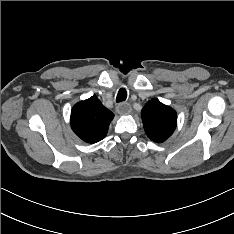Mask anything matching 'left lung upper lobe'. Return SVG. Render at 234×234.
<instances>
[{
	"label": "left lung upper lobe",
	"instance_id": "1",
	"mask_svg": "<svg viewBox=\"0 0 234 234\" xmlns=\"http://www.w3.org/2000/svg\"><path fill=\"white\" fill-rule=\"evenodd\" d=\"M142 121L147 136L154 142L162 143L173 134L177 115L171 107L152 99L142 109Z\"/></svg>",
	"mask_w": 234,
	"mask_h": 234
}]
</instances>
